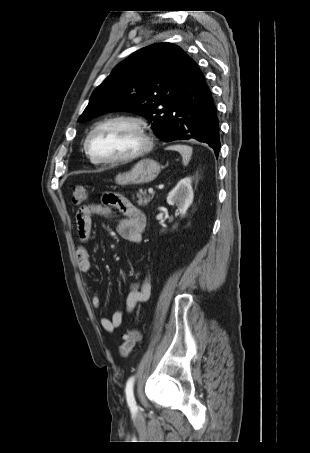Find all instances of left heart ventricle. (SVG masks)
I'll use <instances>...</instances> for the list:
<instances>
[{"instance_id": "obj_1", "label": "left heart ventricle", "mask_w": 310, "mask_h": 453, "mask_svg": "<svg viewBox=\"0 0 310 453\" xmlns=\"http://www.w3.org/2000/svg\"><path fill=\"white\" fill-rule=\"evenodd\" d=\"M142 139L136 128L125 122H115L100 128L91 138V149L103 158H118L139 149Z\"/></svg>"}]
</instances>
